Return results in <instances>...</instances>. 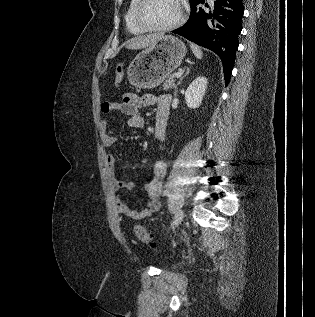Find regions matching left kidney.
<instances>
[{
    "label": "left kidney",
    "instance_id": "obj_1",
    "mask_svg": "<svg viewBox=\"0 0 315 317\" xmlns=\"http://www.w3.org/2000/svg\"><path fill=\"white\" fill-rule=\"evenodd\" d=\"M207 78L200 76L197 77L189 85L185 92L186 104L190 108H198L203 100L207 89Z\"/></svg>",
    "mask_w": 315,
    "mask_h": 317
}]
</instances>
